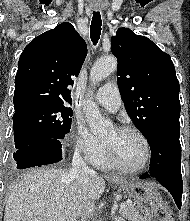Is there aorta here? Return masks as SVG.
Returning <instances> with one entry per match:
<instances>
[{"label": "aorta", "instance_id": "1", "mask_svg": "<svg viewBox=\"0 0 190 221\" xmlns=\"http://www.w3.org/2000/svg\"><path fill=\"white\" fill-rule=\"evenodd\" d=\"M116 69L117 60L114 57L101 58L91 68V82L93 84L100 82L113 73ZM84 114L90 130L95 135L104 134L111 126V123L102 117L98 106L92 101H87L85 104Z\"/></svg>", "mask_w": 190, "mask_h": 221}]
</instances>
